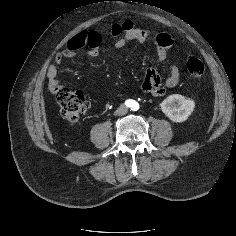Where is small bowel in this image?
I'll use <instances>...</instances> for the list:
<instances>
[{
    "mask_svg": "<svg viewBox=\"0 0 236 236\" xmlns=\"http://www.w3.org/2000/svg\"><path fill=\"white\" fill-rule=\"evenodd\" d=\"M108 33L116 38L114 46L118 49L124 48L129 41H136L140 44L150 43L156 52L159 60L163 61L168 56L174 45V39L171 34L162 32L153 37L148 31L137 28L131 21H125L120 24H112L108 29ZM102 35L95 30H83L74 35L67 43V47L55 57L56 64H62L79 53H85L95 57L100 52ZM58 69L51 64L47 69L48 88L52 93L63 87L57 79ZM180 69L172 64L169 67L168 76L164 81L154 69H149L141 83V89L144 93L153 96H163L166 89L174 88L180 80Z\"/></svg>",
    "mask_w": 236,
    "mask_h": 236,
    "instance_id": "1",
    "label": "small bowel"
}]
</instances>
